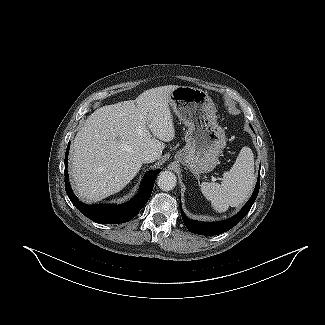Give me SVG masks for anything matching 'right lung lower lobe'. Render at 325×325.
Listing matches in <instances>:
<instances>
[{
    "instance_id": "right-lung-lower-lobe-1",
    "label": "right lung lower lobe",
    "mask_w": 325,
    "mask_h": 325,
    "mask_svg": "<svg viewBox=\"0 0 325 325\" xmlns=\"http://www.w3.org/2000/svg\"><path fill=\"white\" fill-rule=\"evenodd\" d=\"M69 145L70 144H68L65 155V189L69 199L75 207L87 218L101 224L124 223L134 218L150 198L155 179L161 170L148 172L143 179L139 193L125 204L118 206L109 204L86 205L77 199L68 182L67 161Z\"/></svg>"
}]
</instances>
